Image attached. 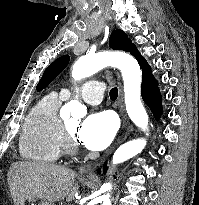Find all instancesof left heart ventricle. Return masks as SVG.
Masks as SVG:
<instances>
[{"label":"left heart ventricle","mask_w":199,"mask_h":205,"mask_svg":"<svg viewBox=\"0 0 199 205\" xmlns=\"http://www.w3.org/2000/svg\"><path fill=\"white\" fill-rule=\"evenodd\" d=\"M65 124H66L68 130L74 135L77 128H78L79 121L73 119V120L67 121Z\"/></svg>","instance_id":"b2bd125f"}]
</instances>
